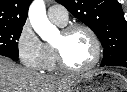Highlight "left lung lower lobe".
<instances>
[{"label": "left lung lower lobe", "mask_w": 127, "mask_h": 92, "mask_svg": "<svg viewBox=\"0 0 127 92\" xmlns=\"http://www.w3.org/2000/svg\"><path fill=\"white\" fill-rule=\"evenodd\" d=\"M110 65L127 67V50L119 51L110 58L102 60L101 67Z\"/></svg>", "instance_id": "0a47b994"}]
</instances>
